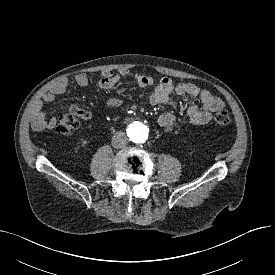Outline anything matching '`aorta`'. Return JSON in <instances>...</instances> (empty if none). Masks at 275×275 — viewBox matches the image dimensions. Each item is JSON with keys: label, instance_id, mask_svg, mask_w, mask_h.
I'll return each instance as SVG.
<instances>
[{"label": "aorta", "instance_id": "aorta-1", "mask_svg": "<svg viewBox=\"0 0 275 275\" xmlns=\"http://www.w3.org/2000/svg\"><path fill=\"white\" fill-rule=\"evenodd\" d=\"M148 126L142 122H134L128 128L130 138L135 143H142L148 137Z\"/></svg>", "mask_w": 275, "mask_h": 275}]
</instances>
